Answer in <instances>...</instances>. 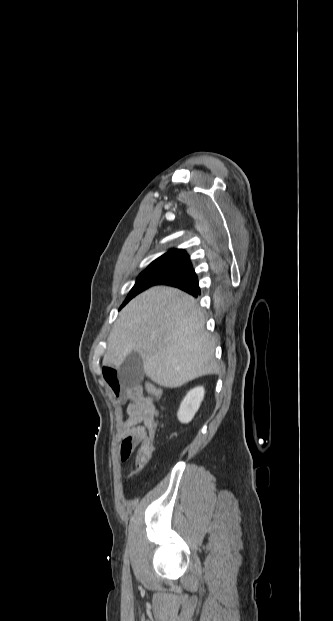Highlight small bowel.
<instances>
[{
  "instance_id": "obj_1",
  "label": "small bowel",
  "mask_w": 333,
  "mask_h": 621,
  "mask_svg": "<svg viewBox=\"0 0 333 621\" xmlns=\"http://www.w3.org/2000/svg\"><path fill=\"white\" fill-rule=\"evenodd\" d=\"M102 374L112 394L120 404H127V417L122 424L121 461H126L141 438L157 423L159 410L149 384L124 385L113 366H104Z\"/></svg>"
}]
</instances>
